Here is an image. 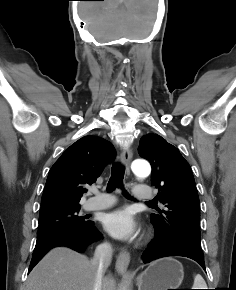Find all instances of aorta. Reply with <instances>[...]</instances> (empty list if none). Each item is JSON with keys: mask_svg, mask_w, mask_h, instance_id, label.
<instances>
[{"mask_svg": "<svg viewBox=\"0 0 236 290\" xmlns=\"http://www.w3.org/2000/svg\"><path fill=\"white\" fill-rule=\"evenodd\" d=\"M132 170L138 178L143 179L149 176L151 167L146 161L137 160L133 162Z\"/></svg>", "mask_w": 236, "mask_h": 290, "instance_id": "aorta-1", "label": "aorta"}]
</instances>
